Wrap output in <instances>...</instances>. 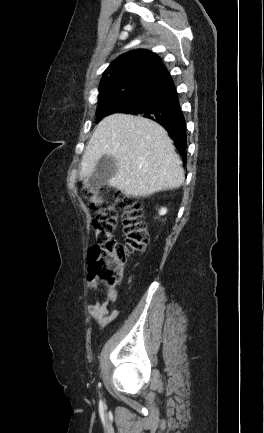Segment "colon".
<instances>
[{
	"label": "colon",
	"mask_w": 264,
	"mask_h": 433,
	"mask_svg": "<svg viewBox=\"0 0 264 433\" xmlns=\"http://www.w3.org/2000/svg\"><path fill=\"white\" fill-rule=\"evenodd\" d=\"M103 189L88 188L84 196L96 211L93 228L96 244L88 253L89 273L105 283L109 288L115 287L121 280L123 266L128 257L141 252L148 244L149 236L143 219L141 203L134 197L117 193L115 204H108L103 198ZM123 211L122 223L125 242L118 243L113 239L117 224V211Z\"/></svg>",
	"instance_id": "colon-1"
}]
</instances>
